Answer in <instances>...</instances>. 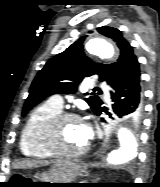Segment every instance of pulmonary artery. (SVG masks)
I'll use <instances>...</instances> for the list:
<instances>
[{
	"mask_svg": "<svg viewBox=\"0 0 160 187\" xmlns=\"http://www.w3.org/2000/svg\"><path fill=\"white\" fill-rule=\"evenodd\" d=\"M100 87H101L102 89H106V86H105V85H101ZM105 99H106L107 102L110 101V96H109L107 93L105 94ZM50 102H51L52 104H54L55 106L59 107V108H62V107H63V99H62V97L59 96V95H54V96H52L51 99H50Z\"/></svg>",
	"mask_w": 160,
	"mask_h": 187,
	"instance_id": "obj_1",
	"label": "pulmonary artery"
}]
</instances>
